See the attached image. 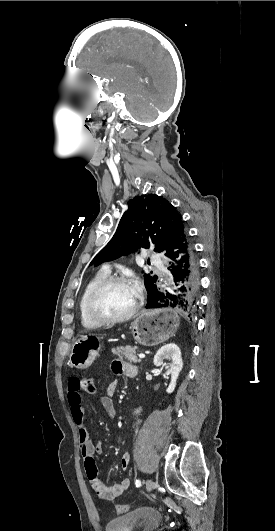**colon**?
<instances>
[{
	"label": "colon",
	"mask_w": 275,
	"mask_h": 531,
	"mask_svg": "<svg viewBox=\"0 0 275 531\" xmlns=\"http://www.w3.org/2000/svg\"><path fill=\"white\" fill-rule=\"evenodd\" d=\"M81 390L90 396H96L98 383L97 381H94V378L92 377H85V381H82L81 383ZM116 511L118 515H123L127 512V506L120 504L117 506Z\"/></svg>",
	"instance_id": "colon-1"
}]
</instances>
